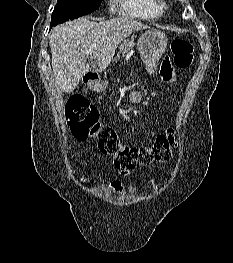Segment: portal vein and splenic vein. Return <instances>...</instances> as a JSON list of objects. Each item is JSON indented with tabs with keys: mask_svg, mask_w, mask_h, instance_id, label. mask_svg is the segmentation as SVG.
<instances>
[{
	"mask_svg": "<svg viewBox=\"0 0 233 263\" xmlns=\"http://www.w3.org/2000/svg\"><path fill=\"white\" fill-rule=\"evenodd\" d=\"M93 48H94V46H91V47L89 48V50L87 51V53H91L92 50H93Z\"/></svg>",
	"mask_w": 233,
	"mask_h": 263,
	"instance_id": "1",
	"label": "portal vein and splenic vein"
}]
</instances>
